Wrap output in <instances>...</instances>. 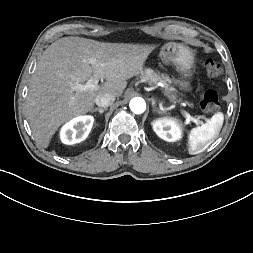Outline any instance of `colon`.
I'll use <instances>...</instances> for the list:
<instances>
[{
    "mask_svg": "<svg viewBox=\"0 0 253 253\" xmlns=\"http://www.w3.org/2000/svg\"><path fill=\"white\" fill-rule=\"evenodd\" d=\"M204 68H205L206 74L210 78H217L222 72V67L219 64V62L213 59H207L204 62ZM200 106L202 110L205 112L216 111L218 108V96H217L216 91L207 90L200 101Z\"/></svg>",
    "mask_w": 253,
    "mask_h": 253,
    "instance_id": "5ec220e1",
    "label": "colon"
}]
</instances>
